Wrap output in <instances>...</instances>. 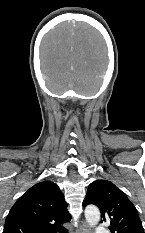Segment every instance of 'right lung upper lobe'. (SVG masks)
Instances as JSON below:
<instances>
[{"label":"right lung upper lobe","mask_w":145,"mask_h":233,"mask_svg":"<svg viewBox=\"0 0 145 233\" xmlns=\"http://www.w3.org/2000/svg\"><path fill=\"white\" fill-rule=\"evenodd\" d=\"M71 215L59 187L50 181L35 184L11 208L3 233H65Z\"/></svg>","instance_id":"obj_1"}]
</instances>
